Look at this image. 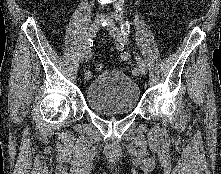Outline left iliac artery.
Instances as JSON below:
<instances>
[{
  "mask_svg": "<svg viewBox=\"0 0 221 174\" xmlns=\"http://www.w3.org/2000/svg\"><path fill=\"white\" fill-rule=\"evenodd\" d=\"M121 31L123 32L124 35H126V36L129 35L130 25H129L128 21H124V22L121 23ZM121 58H122V60L127 61V60H129L130 55H129L128 52L124 51V52L121 53ZM133 73L138 74L139 69H135L133 71Z\"/></svg>",
  "mask_w": 221,
  "mask_h": 174,
  "instance_id": "1",
  "label": "left iliac artery"
}]
</instances>
